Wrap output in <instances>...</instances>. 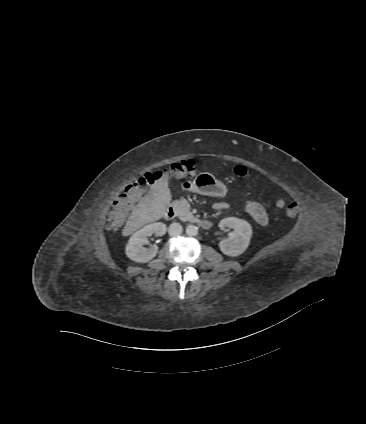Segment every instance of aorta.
Segmentation results:
<instances>
[{
  "instance_id": "762f6f07",
  "label": "aorta",
  "mask_w": 366,
  "mask_h": 424,
  "mask_svg": "<svg viewBox=\"0 0 366 424\" xmlns=\"http://www.w3.org/2000/svg\"><path fill=\"white\" fill-rule=\"evenodd\" d=\"M186 234L188 236H196L198 234V227L195 225H188L186 227Z\"/></svg>"
}]
</instances>
